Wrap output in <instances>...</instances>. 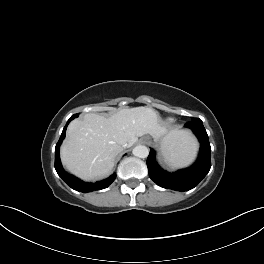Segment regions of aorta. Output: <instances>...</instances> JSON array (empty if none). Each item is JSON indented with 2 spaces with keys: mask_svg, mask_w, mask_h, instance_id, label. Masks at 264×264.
Instances as JSON below:
<instances>
[{
  "mask_svg": "<svg viewBox=\"0 0 264 264\" xmlns=\"http://www.w3.org/2000/svg\"><path fill=\"white\" fill-rule=\"evenodd\" d=\"M132 153L136 157L146 158L149 155V149L144 145H138L133 149Z\"/></svg>",
  "mask_w": 264,
  "mask_h": 264,
  "instance_id": "obj_1",
  "label": "aorta"
}]
</instances>
